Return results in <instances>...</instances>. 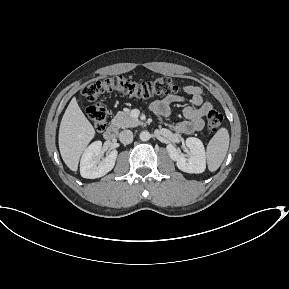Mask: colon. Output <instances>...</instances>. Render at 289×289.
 Segmentation results:
<instances>
[{"label":"colon","mask_w":289,"mask_h":289,"mask_svg":"<svg viewBox=\"0 0 289 289\" xmlns=\"http://www.w3.org/2000/svg\"><path fill=\"white\" fill-rule=\"evenodd\" d=\"M180 91V86L170 77H160L152 81L138 82L124 76H113L91 81L82 88V95L89 101H95L105 93L117 92L130 98L149 99L154 96L173 95ZM87 116L95 129L101 132L107 125V110L101 103L91 105L86 110ZM223 116L214 110L207 114V127L217 131Z\"/></svg>","instance_id":"colon-1"}]
</instances>
